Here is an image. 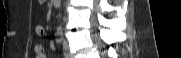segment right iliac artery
Segmentation results:
<instances>
[{
	"label": "right iliac artery",
	"mask_w": 181,
	"mask_h": 58,
	"mask_svg": "<svg viewBox=\"0 0 181 58\" xmlns=\"http://www.w3.org/2000/svg\"><path fill=\"white\" fill-rule=\"evenodd\" d=\"M61 41H62V34L58 33L57 38H56V42L60 43Z\"/></svg>",
	"instance_id": "1"
}]
</instances>
